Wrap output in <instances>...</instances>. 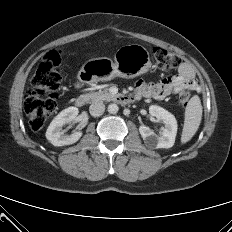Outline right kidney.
Segmentation results:
<instances>
[{"label":"right kidney","mask_w":232,"mask_h":232,"mask_svg":"<svg viewBox=\"0 0 232 232\" xmlns=\"http://www.w3.org/2000/svg\"><path fill=\"white\" fill-rule=\"evenodd\" d=\"M79 111L76 107H68L61 111L50 123L46 138L54 146H65L76 143L82 136L81 131H75L71 135H65L62 131L64 124L71 122Z\"/></svg>","instance_id":"right-kidney-1"}]
</instances>
